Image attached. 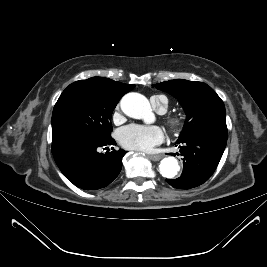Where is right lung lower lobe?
I'll list each match as a JSON object with an SVG mask.
<instances>
[{"instance_id":"right-lung-lower-lobe-1","label":"right lung lower lobe","mask_w":267,"mask_h":267,"mask_svg":"<svg viewBox=\"0 0 267 267\" xmlns=\"http://www.w3.org/2000/svg\"><path fill=\"white\" fill-rule=\"evenodd\" d=\"M113 138L91 140L67 138L52 145L54 159L66 178L84 190H98L108 186L120 173L126 151L99 153L101 147L113 146Z\"/></svg>"}]
</instances>
